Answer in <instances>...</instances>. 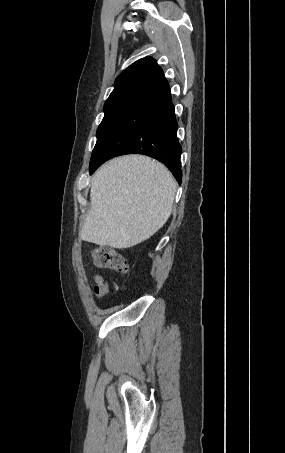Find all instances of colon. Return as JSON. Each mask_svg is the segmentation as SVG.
Masks as SVG:
<instances>
[{"mask_svg": "<svg viewBox=\"0 0 285 453\" xmlns=\"http://www.w3.org/2000/svg\"><path fill=\"white\" fill-rule=\"evenodd\" d=\"M93 264L101 269H110L120 273L129 271V264L126 258L116 250L99 246L91 252Z\"/></svg>", "mask_w": 285, "mask_h": 453, "instance_id": "obj_1", "label": "colon"}]
</instances>
